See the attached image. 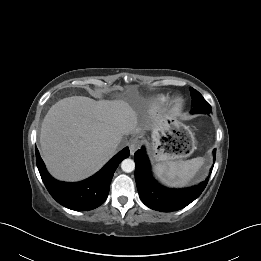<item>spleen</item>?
I'll use <instances>...</instances> for the list:
<instances>
[{"instance_id": "3e777b00", "label": "spleen", "mask_w": 261, "mask_h": 261, "mask_svg": "<svg viewBox=\"0 0 261 261\" xmlns=\"http://www.w3.org/2000/svg\"><path fill=\"white\" fill-rule=\"evenodd\" d=\"M203 162L202 157L186 161H168L156 164L154 170L164 183L170 186H184L194 177Z\"/></svg>"}]
</instances>
